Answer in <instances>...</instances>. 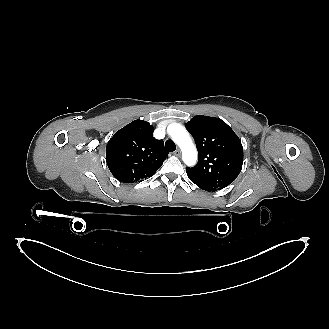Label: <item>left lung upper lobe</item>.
<instances>
[{
	"label": "left lung upper lobe",
	"mask_w": 329,
	"mask_h": 329,
	"mask_svg": "<svg viewBox=\"0 0 329 329\" xmlns=\"http://www.w3.org/2000/svg\"><path fill=\"white\" fill-rule=\"evenodd\" d=\"M198 150V163L187 167L192 182L211 190L231 184L243 164V147L234 131L221 119L197 115L186 123Z\"/></svg>",
	"instance_id": "obj_1"
}]
</instances>
